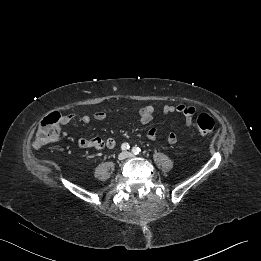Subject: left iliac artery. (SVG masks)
<instances>
[{"label":"left iliac artery","instance_id":"left-iliac-artery-1","mask_svg":"<svg viewBox=\"0 0 261 261\" xmlns=\"http://www.w3.org/2000/svg\"><path fill=\"white\" fill-rule=\"evenodd\" d=\"M140 151H141V149L139 148V147H133L132 148V152L134 153V154H139L140 153Z\"/></svg>","mask_w":261,"mask_h":261}]
</instances>
